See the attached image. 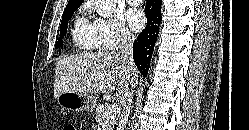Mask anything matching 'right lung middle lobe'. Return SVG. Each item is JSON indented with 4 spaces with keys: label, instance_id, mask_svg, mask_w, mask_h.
<instances>
[{
    "label": "right lung middle lobe",
    "instance_id": "dd1d6c3e",
    "mask_svg": "<svg viewBox=\"0 0 249 130\" xmlns=\"http://www.w3.org/2000/svg\"><path fill=\"white\" fill-rule=\"evenodd\" d=\"M79 6L80 4H70L66 6L60 26V37L55 45V48L62 47V37L67 32L68 20L72 17L74 11L77 10Z\"/></svg>",
    "mask_w": 249,
    "mask_h": 130
}]
</instances>
